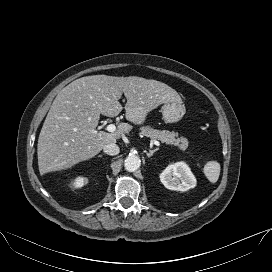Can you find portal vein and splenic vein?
Instances as JSON below:
<instances>
[{
  "instance_id": "obj_1",
  "label": "portal vein and splenic vein",
  "mask_w": 272,
  "mask_h": 272,
  "mask_svg": "<svg viewBox=\"0 0 272 272\" xmlns=\"http://www.w3.org/2000/svg\"><path fill=\"white\" fill-rule=\"evenodd\" d=\"M107 131H109V132H111V133H114L115 131H116V126L114 125V124H109V125H107ZM153 142V144H155L156 146H160V143H159V141H157V140H153L152 141Z\"/></svg>"
}]
</instances>
